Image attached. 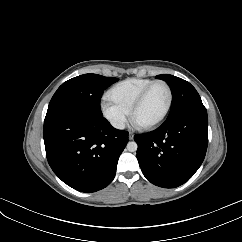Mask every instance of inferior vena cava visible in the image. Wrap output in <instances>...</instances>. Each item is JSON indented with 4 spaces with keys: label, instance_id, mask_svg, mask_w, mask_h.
Returning a JSON list of instances; mask_svg holds the SVG:
<instances>
[{
    "label": "inferior vena cava",
    "instance_id": "inferior-vena-cava-1",
    "mask_svg": "<svg viewBox=\"0 0 242 242\" xmlns=\"http://www.w3.org/2000/svg\"><path fill=\"white\" fill-rule=\"evenodd\" d=\"M112 125L117 128V129H124L125 128V124L123 121H115L112 123Z\"/></svg>",
    "mask_w": 242,
    "mask_h": 242
}]
</instances>
